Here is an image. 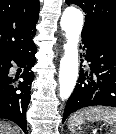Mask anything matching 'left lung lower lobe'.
Returning <instances> with one entry per match:
<instances>
[{"instance_id":"left-lung-lower-lobe-1","label":"left lung lower lobe","mask_w":116,"mask_h":134,"mask_svg":"<svg viewBox=\"0 0 116 134\" xmlns=\"http://www.w3.org/2000/svg\"><path fill=\"white\" fill-rule=\"evenodd\" d=\"M82 44L90 70L80 69L78 84L67 101L62 122L85 107H116V41L84 35Z\"/></svg>"}]
</instances>
